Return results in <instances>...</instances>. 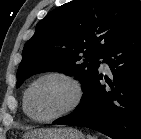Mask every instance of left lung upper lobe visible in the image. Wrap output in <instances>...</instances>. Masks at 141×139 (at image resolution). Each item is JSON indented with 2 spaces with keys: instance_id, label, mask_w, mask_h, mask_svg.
<instances>
[{
  "instance_id": "5c2ea615",
  "label": "left lung upper lobe",
  "mask_w": 141,
  "mask_h": 139,
  "mask_svg": "<svg viewBox=\"0 0 141 139\" xmlns=\"http://www.w3.org/2000/svg\"><path fill=\"white\" fill-rule=\"evenodd\" d=\"M141 26L139 0H75L47 14L22 52L17 88L37 73L74 75L83 91L106 52Z\"/></svg>"
}]
</instances>
